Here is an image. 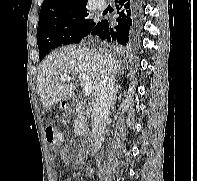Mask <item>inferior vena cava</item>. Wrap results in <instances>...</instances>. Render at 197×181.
I'll list each match as a JSON object with an SVG mask.
<instances>
[{
  "mask_svg": "<svg viewBox=\"0 0 197 181\" xmlns=\"http://www.w3.org/2000/svg\"><path fill=\"white\" fill-rule=\"evenodd\" d=\"M114 86V75L109 71H104L95 94V103L91 116L92 138L96 149H100L104 141V125L114 100Z\"/></svg>",
  "mask_w": 197,
  "mask_h": 181,
  "instance_id": "obj_1",
  "label": "inferior vena cava"
}]
</instances>
